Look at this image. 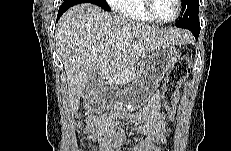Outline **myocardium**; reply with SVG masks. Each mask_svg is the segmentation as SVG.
I'll return each instance as SVG.
<instances>
[{
  "instance_id": "1",
  "label": "myocardium",
  "mask_w": 231,
  "mask_h": 151,
  "mask_svg": "<svg viewBox=\"0 0 231 151\" xmlns=\"http://www.w3.org/2000/svg\"><path fill=\"white\" fill-rule=\"evenodd\" d=\"M176 2V13L175 15L168 19V20H163L161 18H159L153 10V0H144V10L146 12V14L156 23L159 24H170L172 22H174L181 14V9H182V2L180 0H175Z\"/></svg>"
}]
</instances>
